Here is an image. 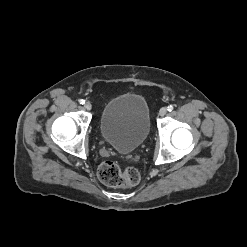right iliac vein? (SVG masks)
Instances as JSON below:
<instances>
[{
  "instance_id": "right-iliac-vein-1",
  "label": "right iliac vein",
  "mask_w": 247,
  "mask_h": 247,
  "mask_svg": "<svg viewBox=\"0 0 247 247\" xmlns=\"http://www.w3.org/2000/svg\"><path fill=\"white\" fill-rule=\"evenodd\" d=\"M84 107H85L86 110H91L92 105H91L90 102H86L85 105H84Z\"/></svg>"
}]
</instances>
